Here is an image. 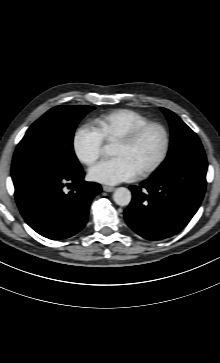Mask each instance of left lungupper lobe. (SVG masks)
Masks as SVG:
<instances>
[{
    "mask_svg": "<svg viewBox=\"0 0 220 363\" xmlns=\"http://www.w3.org/2000/svg\"><path fill=\"white\" fill-rule=\"evenodd\" d=\"M161 110L171 127V142L168 156L157 171L168 169L186 158H206L197 135L172 111L165 108Z\"/></svg>",
    "mask_w": 220,
    "mask_h": 363,
    "instance_id": "1",
    "label": "left lung upper lobe"
}]
</instances>
